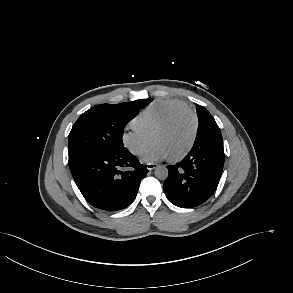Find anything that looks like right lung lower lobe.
Listing matches in <instances>:
<instances>
[{"instance_id":"right-lung-lower-lobe-1","label":"right lung lower lobe","mask_w":293,"mask_h":293,"mask_svg":"<svg viewBox=\"0 0 293 293\" xmlns=\"http://www.w3.org/2000/svg\"><path fill=\"white\" fill-rule=\"evenodd\" d=\"M125 167L132 169L121 171ZM70 171L87 202L106 211L129 206L148 172L125 147L91 156Z\"/></svg>"}]
</instances>
